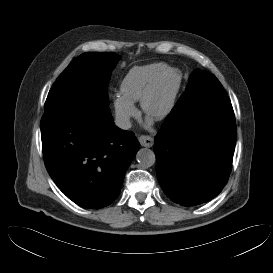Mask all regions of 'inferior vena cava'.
<instances>
[{
  "mask_svg": "<svg viewBox=\"0 0 273 273\" xmlns=\"http://www.w3.org/2000/svg\"><path fill=\"white\" fill-rule=\"evenodd\" d=\"M114 122L117 127L123 130H127L132 126L130 118L126 115H117Z\"/></svg>",
  "mask_w": 273,
  "mask_h": 273,
  "instance_id": "1",
  "label": "inferior vena cava"
}]
</instances>
